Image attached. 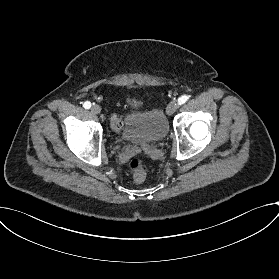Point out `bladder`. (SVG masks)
<instances>
[{
  "instance_id": "31cf9c89",
  "label": "bladder",
  "mask_w": 279,
  "mask_h": 279,
  "mask_svg": "<svg viewBox=\"0 0 279 279\" xmlns=\"http://www.w3.org/2000/svg\"><path fill=\"white\" fill-rule=\"evenodd\" d=\"M167 132L168 119L159 106H152L144 113L127 114L123 119V137L134 145L158 142Z\"/></svg>"
}]
</instances>
